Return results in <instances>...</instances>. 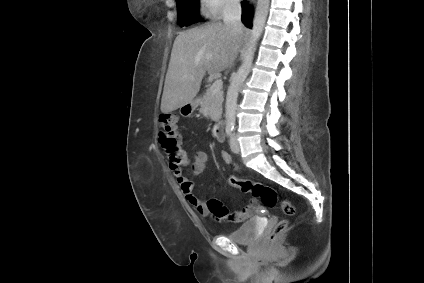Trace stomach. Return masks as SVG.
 <instances>
[{
	"label": "stomach",
	"instance_id": "1",
	"mask_svg": "<svg viewBox=\"0 0 424 283\" xmlns=\"http://www.w3.org/2000/svg\"><path fill=\"white\" fill-rule=\"evenodd\" d=\"M188 108H190L191 110H193L195 108L194 101L191 102V103H187V104L180 107V113H181L182 116H185V110H187Z\"/></svg>",
	"mask_w": 424,
	"mask_h": 283
}]
</instances>
